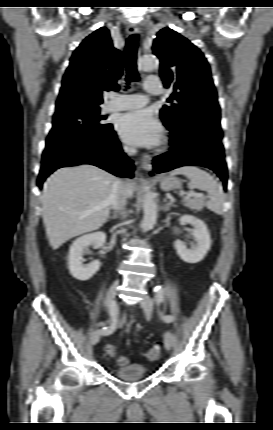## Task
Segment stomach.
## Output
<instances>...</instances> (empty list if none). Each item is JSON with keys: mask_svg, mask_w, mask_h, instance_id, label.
Instances as JSON below:
<instances>
[{"mask_svg": "<svg viewBox=\"0 0 273 430\" xmlns=\"http://www.w3.org/2000/svg\"><path fill=\"white\" fill-rule=\"evenodd\" d=\"M159 181H160V187L164 191L178 189L181 187V182L176 177L161 176L159 177Z\"/></svg>", "mask_w": 273, "mask_h": 430, "instance_id": "0dacf381", "label": "stomach"}]
</instances>
